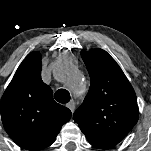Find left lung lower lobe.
I'll return each mask as SVG.
<instances>
[{
	"label": "left lung lower lobe",
	"mask_w": 151,
	"mask_h": 151,
	"mask_svg": "<svg viewBox=\"0 0 151 151\" xmlns=\"http://www.w3.org/2000/svg\"><path fill=\"white\" fill-rule=\"evenodd\" d=\"M120 141L117 140H110V139H95L90 140L89 143L93 146L100 148V149H110L117 145Z\"/></svg>",
	"instance_id": "left-lung-lower-lobe-1"
}]
</instances>
